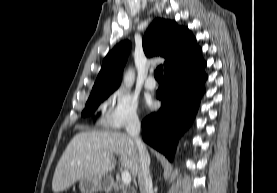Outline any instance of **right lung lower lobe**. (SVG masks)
I'll use <instances>...</instances> for the list:
<instances>
[{
    "mask_svg": "<svg viewBox=\"0 0 277 193\" xmlns=\"http://www.w3.org/2000/svg\"><path fill=\"white\" fill-rule=\"evenodd\" d=\"M205 65L199 48L165 71L163 85L156 92L162 106L142 122L143 140L169 160L179 137L195 117L207 78Z\"/></svg>",
    "mask_w": 277,
    "mask_h": 193,
    "instance_id": "1",
    "label": "right lung lower lobe"
}]
</instances>
